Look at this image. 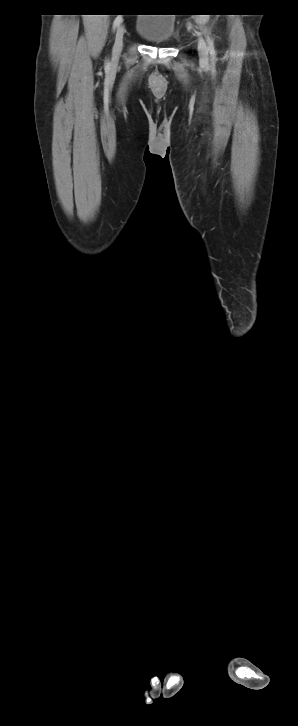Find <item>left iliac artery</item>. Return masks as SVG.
<instances>
[{
  "label": "left iliac artery",
  "mask_w": 298,
  "mask_h": 726,
  "mask_svg": "<svg viewBox=\"0 0 298 726\" xmlns=\"http://www.w3.org/2000/svg\"><path fill=\"white\" fill-rule=\"evenodd\" d=\"M206 39H207L208 49H209V53H210L211 59L214 60L215 59V56H216V51H215V48H214L213 40L210 38V36H209L208 33L206 34Z\"/></svg>",
  "instance_id": "1"
}]
</instances>
